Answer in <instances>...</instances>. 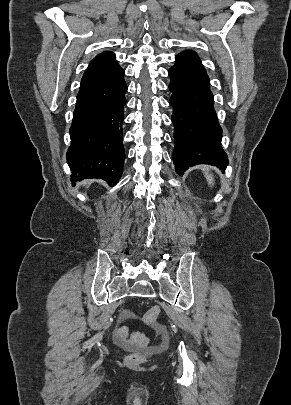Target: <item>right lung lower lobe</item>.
Wrapping results in <instances>:
<instances>
[{"label":"right lung lower lobe","mask_w":291,"mask_h":405,"mask_svg":"<svg viewBox=\"0 0 291 405\" xmlns=\"http://www.w3.org/2000/svg\"><path fill=\"white\" fill-rule=\"evenodd\" d=\"M116 76L80 88L70 127L66 159L71 181L97 178L116 185L123 172L124 106L127 85Z\"/></svg>","instance_id":"1"}]
</instances>
